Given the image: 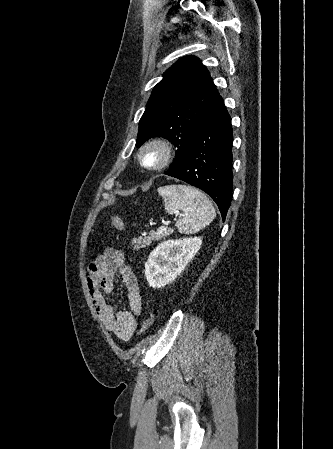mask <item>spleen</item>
Instances as JSON below:
<instances>
[{
    "instance_id": "spleen-1",
    "label": "spleen",
    "mask_w": 333,
    "mask_h": 449,
    "mask_svg": "<svg viewBox=\"0 0 333 449\" xmlns=\"http://www.w3.org/2000/svg\"><path fill=\"white\" fill-rule=\"evenodd\" d=\"M168 214H179L175 226L180 233H196L209 225L216 216L209 198L187 185H167L158 188Z\"/></svg>"
}]
</instances>
